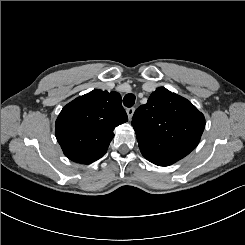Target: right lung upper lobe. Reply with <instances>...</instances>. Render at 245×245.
Wrapping results in <instances>:
<instances>
[{
  "instance_id": "obj_1",
  "label": "right lung upper lobe",
  "mask_w": 245,
  "mask_h": 245,
  "mask_svg": "<svg viewBox=\"0 0 245 245\" xmlns=\"http://www.w3.org/2000/svg\"><path fill=\"white\" fill-rule=\"evenodd\" d=\"M127 121L119 93L93 90L62 109L56 138L70 160L90 164L106 153L114 128Z\"/></svg>"
}]
</instances>
